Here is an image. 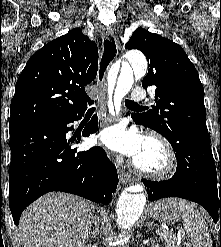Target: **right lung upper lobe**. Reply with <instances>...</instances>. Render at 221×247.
<instances>
[{
    "mask_svg": "<svg viewBox=\"0 0 221 247\" xmlns=\"http://www.w3.org/2000/svg\"><path fill=\"white\" fill-rule=\"evenodd\" d=\"M98 58L97 45L78 28L47 43L18 78L9 126L63 121L85 110V87L96 78Z\"/></svg>",
    "mask_w": 221,
    "mask_h": 247,
    "instance_id": "cb5924a9",
    "label": "right lung upper lobe"
}]
</instances>
